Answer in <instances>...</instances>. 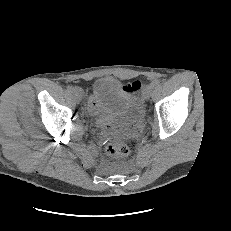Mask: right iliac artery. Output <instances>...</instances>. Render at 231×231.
I'll list each match as a JSON object with an SVG mask.
<instances>
[{
    "label": "right iliac artery",
    "mask_w": 231,
    "mask_h": 231,
    "mask_svg": "<svg viewBox=\"0 0 231 231\" xmlns=\"http://www.w3.org/2000/svg\"><path fill=\"white\" fill-rule=\"evenodd\" d=\"M67 90H68L69 92H73V91H74V87L71 86V85H68V86H67Z\"/></svg>",
    "instance_id": "obj_1"
}]
</instances>
